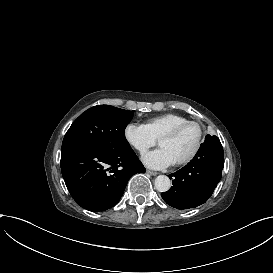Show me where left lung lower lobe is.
<instances>
[{"mask_svg": "<svg viewBox=\"0 0 273 273\" xmlns=\"http://www.w3.org/2000/svg\"><path fill=\"white\" fill-rule=\"evenodd\" d=\"M224 151L217 136L207 135L195 157L170 174L173 186L161 193L163 200L177 209L195 208L205 203L221 179Z\"/></svg>", "mask_w": 273, "mask_h": 273, "instance_id": "1", "label": "left lung lower lobe"}]
</instances>
